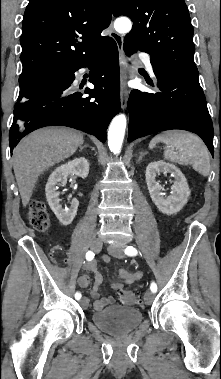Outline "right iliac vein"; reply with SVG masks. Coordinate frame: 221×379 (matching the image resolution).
<instances>
[{
	"instance_id": "obj_1",
	"label": "right iliac vein",
	"mask_w": 221,
	"mask_h": 379,
	"mask_svg": "<svg viewBox=\"0 0 221 379\" xmlns=\"http://www.w3.org/2000/svg\"><path fill=\"white\" fill-rule=\"evenodd\" d=\"M102 245H103V243L100 239H95L91 245V249L94 252L98 253L102 249ZM88 303H89L88 299H86L85 297L80 300V304L84 308L88 306Z\"/></svg>"
}]
</instances>
